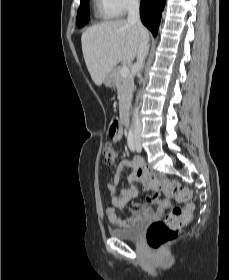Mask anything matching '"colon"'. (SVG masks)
Masks as SVG:
<instances>
[{"instance_id": "5ec220e1", "label": "colon", "mask_w": 229, "mask_h": 280, "mask_svg": "<svg viewBox=\"0 0 229 280\" xmlns=\"http://www.w3.org/2000/svg\"><path fill=\"white\" fill-rule=\"evenodd\" d=\"M119 124L114 121L109 133L118 131ZM103 156L107 164H112L116 156V148L107 143L103 147ZM148 185L153 189H163L168 195L176 200L187 202L191 198V192L182 187L177 180H168L161 174H154L148 178ZM191 207H173L161 220L153 222L147 230L146 239L148 245L153 249H159L176 239L178 232L191 220Z\"/></svg>"}]
</instances>
